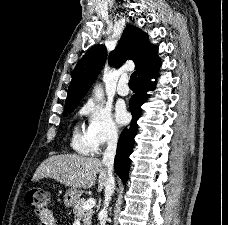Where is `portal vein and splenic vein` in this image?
<instances>
[{
    "instance_id": "1",
    "label": "portal vein and splenic vein",
    "mask_w": 228,
    "mask_h": 225,
    "mask_svg": "<svg viewBox=\"0 0 228 225\" xmlns=\"http://www.w3.org/2000/svg\"><path fill=\"white\" fill-rule=\"evenodd\" d=\"M95 205H96L95 199H88V201H85L84 207H82L83 213H85V211H89V209H93Z\"/></svg>"
}]
</instances>
